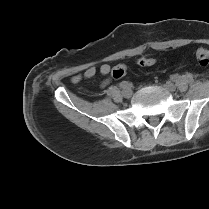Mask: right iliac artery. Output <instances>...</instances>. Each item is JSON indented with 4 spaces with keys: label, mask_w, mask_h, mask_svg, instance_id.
Here are the masks:
<instances>
[{
    "label": "right iliac artery",
    "mask_w": 209,
    "mask_h": 209,
    "mask_svg": "<svg viewBox=\"0 0 209 209\" xmlns=\"http://www.w3.org/2000/svg\"><path fill=\"white\" fill-rule=\"evenodd\" d=\"M129 86H130V83H128V82H126V81H124V82H122V83L120 84V87L123 88V89H125V88H127V87H129Z\"/></svg>",
    "instance_id": "1"
}]
</instances>
